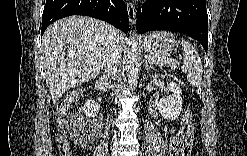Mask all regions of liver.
<instances>
[{
    "label": "liver",
    "instance_id": "1",
    "mask_svg": "<svg viewBox=\"0 0 247 156\" xmlns=\"http://www.w3.org/2000/svg\"><path fill=\"white\" fill-rule=\"evenodd\" d=\"M107 25L83 16L60 19L51 24L42 39L46 83L56 103L69 89L95 78L104 63ZM119 45L125 42L118 31Z\"/></svg>",
    "mask_w": 247,
    "mask_h": 156
}]
</instances>
